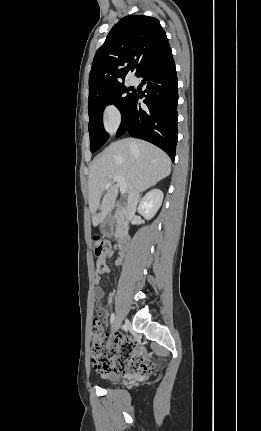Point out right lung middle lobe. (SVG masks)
<instances>
[{"mask_svg":"<svg viewBox=\"0 0 261 431\" xmlns=\"http://www.w3.org/2000/svg\"><path fill=\"white\" fill-rule=\"evenodd\" d=\"M130 89L125 87L121 82L95 92L89 95L88 113H89V134L90 150L97 151L107 140L108 134L103 128L102 112L109 104L118 107L121 113L126 108L132 94Z\"/></svg>","mask_w":261,"mask_h":431,"instance_id":"right-lung-middle-lobe-1","label":"right lung middle lobe"}]
</instances>
